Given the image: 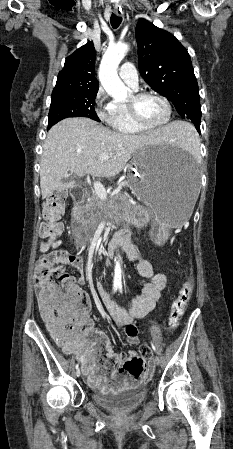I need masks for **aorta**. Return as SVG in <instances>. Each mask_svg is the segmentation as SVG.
Wrapping results in <instances>:
<instances>
[{"mask_svg":"<svg viewBox=\"0 0 233 449\" xmlns=\"http://www.w3.org/2000/svg\"><path fill=\"white\" fill-rule=\"evenodd\" d=\"M129 46L125 43H117L110 46L101 61L99 67V80L106 92L115 100H124L130 89L124 85L117 74V68ZM121 278V266L118 258H115V279Z\"/></svg>","mask_w":233,"mask_h":449,"instance_id":"obj_1","label":"aorta"}]
</instances>
